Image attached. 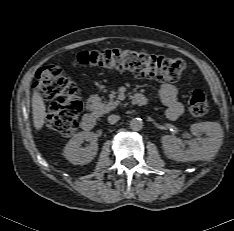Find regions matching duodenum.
<instances>
[{"label": "duodenum", "mask_w": 234, "mask_h": 231, "mask_svg": "<svg viewBox=\"0 0 234 231\" xmlns=\"http://www.w3.org/2000/svg\"><path fill=\"white\" fill-rule=\"evenodd\" d=\"M132 102L135 105L144 106L147 104V99L141 94H135L132 97ZM96 125V116L93 113H86L81 121V126L84 130H92Z\"/></svg>", "instance_id": "410a0bca"}]
</instances>
